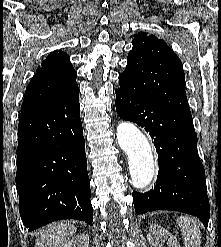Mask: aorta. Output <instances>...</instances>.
<instances>
[{
  "instance_id": "obj_1",
  "label": "aorta",
  "mask_w": 221,
  "mask_h": 247,
  "mask_svg": "<svg viewBox=\"0 0 221 247\" xmlns=\"http://www.w3.org/2000/svg\"><path fill=\"white\" fill-rule=\"evenodd\" d=\"M117 140L128 155L132 185L137 189L148 186L154 176V159L146 135L134 124L121 122L117 126Z\"/></svg>"
}]
</instances>
